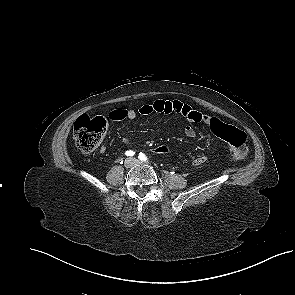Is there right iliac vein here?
<instances>
[{"label": "right iliac vein", "mask_w": 295, "mask_h": 295, "mask_svg": "<svg viewBox=\"0 0 295 295\" xmlns=\"http://www.w3.org/2000/svg\"><path fill=\"white\" fill-rule=\"evenodd\" d=\"M134 162L131 158H127L124 162V166L126 168H131L133 166Z\"/></svg>", "instance_id": "1"}]
</instances>
